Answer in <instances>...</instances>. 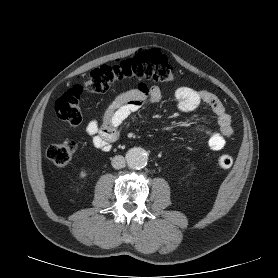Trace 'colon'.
I'll return each mask as SVG.
<instances>
[{"label": "colon", "instance_id": "5ec220e1", "mask_svg": "<svg viewBox=\"0 0 278 278\" xmlns=\"http://www.w3.org/2000/svg\"><path fill=\"white\" fill-rule=\"evenodd\" d=\"M153 80L171 82L175 74L167 56L156 49L139 52L135 56L115 65H102L95 68L89 81L82 86H75L66 91L55 103L57 117L71 125L82 121L81 99L84 92L94 96L106 92L111 86L123 81ZM76 152V143L68 140L47 147L45 155L57 167H65L70 163ZM217 165L228 169L233 159L228 154L217 157Z\"/></svg>", "mask_w": 278, "mask_h": 278}]
</instances>
